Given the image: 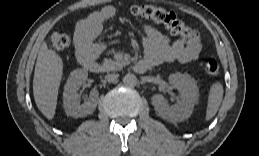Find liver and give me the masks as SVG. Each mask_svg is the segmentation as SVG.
Returning a JSON list of instances; mask_svg holds the SVG:
<instances>
[{
	"label": "liver",
	"mask_w": 259,
	"mask_h": 156,
	"mask_svg": "<svg viewBox=\"0 0 259 156\" xmlns=\"http://www.w3.org/2000/svg\"><path fill=\"white\" fill-rule=\"evenodd\" d=\"M62 74L61 57L43 42L35 65L33 95L38 109L49 120L55 115Z\"/></svg>",
	"instance_id": "obj_1"
}]
</instances>
